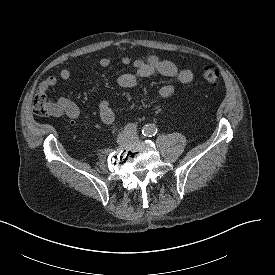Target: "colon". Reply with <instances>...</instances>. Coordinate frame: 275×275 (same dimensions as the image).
Listing matches in <instances>:
<instances>
[{
    "instance_id": "obj_1",
    "label": "colon",
    "mask_w": 275,
    "mask_h": 275,
    "mask_svg": "<svg viewBox=\"0 0 275 275\" xmlns=\"http://www.w3.org/2000/svg\"><path fill=\"white\" fill-rule=\"evenodd\" d=\"M200 77L206 86L214 88L218 85L219 71L214 68L205 67L200 71ZM53 109V101L44 90L38 88L33 96L34 113L40 117H48Z\"/></svg>"
}]
</instances>
